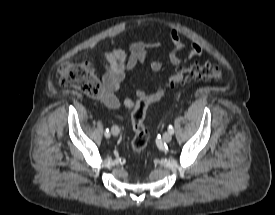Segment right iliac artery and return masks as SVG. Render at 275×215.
<instances>
[{"instance_id":"82829eb1","label":"right iliac artery","mask_w":275,"mask_h":215,"mask_svg":"<svg viewBox=\"0 0 275 215\" xmlns=\"http://www.w3.org/2000/svg\"><path fill=\"white\" fill-rule=\"evenodd\" d=\"M105 137H107V138L110 137V131L108 128L105 130Z\"/></svg>"}]
</instances>
